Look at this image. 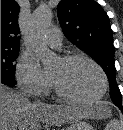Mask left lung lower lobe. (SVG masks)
<instances>
[{
	"label": "left lung lower lobe",
	"instance_id": "left-lung-lower-lobe-1",
	"mask_svg": "<svg viewBox=\"0 0 123 130\" xmlns=\"http://www.w3.org/2000/svg\"><path fill=\"white\" fill-rule=\"evenodd\" d=\"M122 112H123V108L122 107H118Z\"/></svg>",
	"mask_w": 123,
	"mask_h": 130
}]
</instances>
